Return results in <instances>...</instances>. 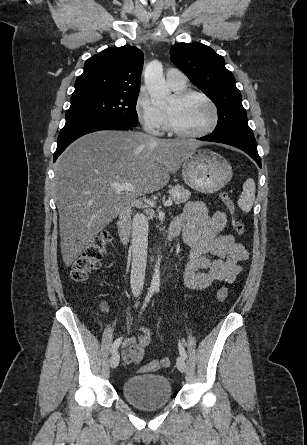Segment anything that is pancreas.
Listing matches in <instances>:
<instances>
[{
  "label": "pancreas",
  "instance_id": "cf45deb5",
  "mask_svg": "<svg viewBox=\"0 0 307 445\" xmlns=\"http://www.w3.org/2000/svg\"><path fill=\"white\" fill-rule=\"evenodd\" d=\"M169 190H171L170 198H173V200H175V204L186 202L191 194L190 190H187V188H184V186H181V184H176V186H169ZM174 192H177V196H174ZM145 212L147 214V218H153V216H155V212L154 210H152V208H146Z\"/></svg>",
  "mask_w": 307,
  "mask_h": 445
}]
</instances>
